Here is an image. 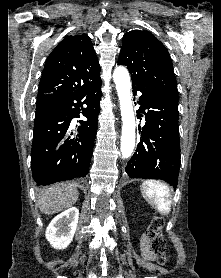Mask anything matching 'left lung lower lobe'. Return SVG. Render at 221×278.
Instances as JSON below:
<instances>
[{
    "label": "left lung lower lobe",
    "instance_id": "left-lung-lower-lobe-1",
    "mask_svg": "<svg viewBox=\"0 0 221 278\" xmlns=\"http://www.w3.org/2000/svg\"><path fill=\"white\" fill-rule=\"evenodd\" d=\"M132 88L142 93L137 118L143 113L145 125L125 171L130 178L162 179L176 188L181 163L178 102L136 84Z\"/></svg>",
    "mask_w": 221,
    "mask_h": 278
}]
</instances>
